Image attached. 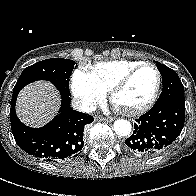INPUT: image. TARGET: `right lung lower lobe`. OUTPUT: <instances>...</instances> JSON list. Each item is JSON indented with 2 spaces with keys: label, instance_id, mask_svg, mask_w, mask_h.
Returning <instances> with one entry per match:
<instances>
[{
  "label": "right lung lower lobe",
  "instance_id": "1",
  "mask_svg": "<svg viewBox=\"0 0 196 196\" xmlns=\"http://www.w3.org/2000/svg\"><path fill=\"white\" fill-rule=\"evenodd\" d=\"M18 93H13L10 108L11 129L18 146L28 154L48 162L77 156L83 147L85 125L93 122V117L73 110L70 107V95L60 92L62 104L59 114L45 126L31 128L16 115Z\"/></svg>",
  "mask_w": 196,
  "mask_h": 196
}]
</instances>
